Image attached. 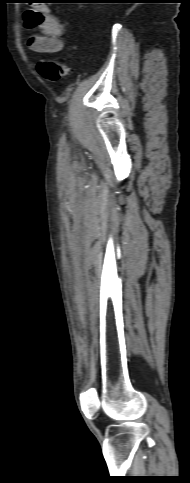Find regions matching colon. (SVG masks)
<instances>
[{
  "label": "colon",
  "instance_id": "colon-1",
  "mask_svg": "<svg viewBox=\"0 0 190 483\" xmlns=\"http://www.w3.org/2000/svg\"><path fill=\"white\" fill-rule=\"evenodd\" d=\"M38 73L49 82H58L70 73L69 67L59 61H40L37 64Z\"/></svg>",
  "mask_w": 190,
  "mask_h": 483
}]
</instances>
